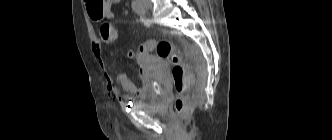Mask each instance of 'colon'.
I'll use <instances>...</instances> for the list:
<instances>
[{
  "instance_id": "5ec220e1",
  "label": "colon",
  "mask_w": 332,
  "mask_h": 140,
  "mask_svg": "<svg viewBox=\"0 0 332 140\" xmlns=\"http://www.w3.org/2000/svg\"><path fill=\"white\" fill-rule=\"evenodd\" d=\"M90 17L94 20L102 19L107 0H84ZM100 34L105 37L118 38L120 28L118 25L103 22L100 25ZM155 50L157 55L171 64L170 75L173 86L177 91L174 103L175 111L184 116L190 110L193 99L189 95L192 77L188 69V64L184 55L178 51L174 44L168 40H149L140 46L136 57L141 59L149 52ZM130 56H135L130 52Z\"/></svg>"
}]
</instances>
